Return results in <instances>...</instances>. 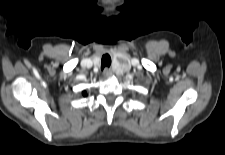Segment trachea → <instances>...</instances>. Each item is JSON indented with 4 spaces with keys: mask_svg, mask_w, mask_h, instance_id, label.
Here are the masks:
<instances>
[{
    "mask_svg": "<svg viewBox=\"0 0 225 155\" xmlns=\"http://www.w3.org/2000/svg\"><path fill=\"white\" fill-rule=\"evenodd\" d=\"M111 64V58L108 54L102 56L101 59V69L103 70L105 67H109Z\"/></svg>",
    "mask_w": 225,
    "mask_h": 155,
    "instance_id": "obj_1",
    "label": "trachea"
}]
</instances>
